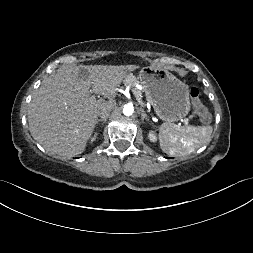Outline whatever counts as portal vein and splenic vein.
<instances>
[{"mask_svg":"<svg viewBox=\"0 0 253 253\" xmlns=\"http://www.w3.org/2000/svg\"><path fill=\"white\" fill-rule=\"evenodd\" d=\"M131 91H132V93L134 94V96L136 97V99L138 100V102L141 103V102H142V101H141V97H140V95L137 93V91H136L134 88H132ZM91 99H92V100H96L95 96H92ZM183 122H184L186 125L188 124V120H187V119L183 120Z\"/></svg>","mask_w":253,"mask_h":253,"instance_id":"18ae733b","label":"portal vein and splenic vein"}]
</instances>
